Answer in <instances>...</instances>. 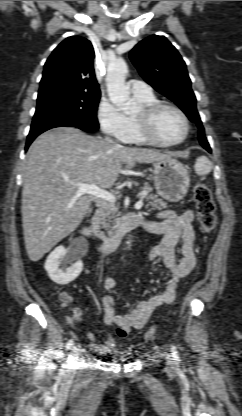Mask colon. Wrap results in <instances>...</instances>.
I'll return each instance as SVG.
<instances>
[{
    "label": "colon",
    "mask_w": 242,
    "mask_h": 416,
    "mask_svg": "<svg viewBox=\"0 0 242 416\" xmlns=\"http://www.w3.org/2000/svg\"><path fill=\"white\" fill-rule=\"evenodd\" d=\"M194 200L199 216L200 229L204 234H209L216 225V207L212 198L210 189L204 183H197L194 187ZM63 301H67L66 296L61 297ZM117 332L120 336H125L127 331L122 327H117ZM156 330L149 328L144 338L146 340L154 339Z\"/></svg>",
    "instance_id": "5ec220e1"
}]
</instances>
